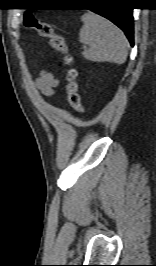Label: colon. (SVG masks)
Returning <instances> with one entry per match:
<instances>
[{
	"label": "colon",
	"instance_id": "1",
	"mask_svg": "<svg viewBox=\"0 0 156 266\" xmlns=\"http://www.w3.org/2000/svg\"><path fill=\"white\" fill-rule=\"evenodd\" d=\"M23 24L26 28L35 30L41 37L47 39L50 46L62 54L63 64L67 66L66 93L68 102L74 111L82 114L84 112V107L81 103V97L79 94L77 71L71 67L73 57L69 53L64 38L55 33L54 28L50 23L40 21L32 13L25 14Z\"/></svg>",
	"mask_w": 156,
	"mask_h": 266
}]
</instances>
